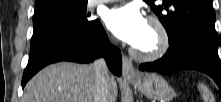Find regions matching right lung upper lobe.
<instances>
[{
    "label": "right lung upper lobe",
    "mask_w": 221,
    "mask_h": 102,
    "mask_svg": "<svg viewBox=\"0 0 221 102\" xmlns=\"http://www.w3.org/2000/svg\"><path fill=\"white\" fill-rule=\"evenodd\" d=\"M46 0H36V6H38L40 3L44 2Z\"/></svg>",
    "instance_id": "right-lung-upper-lobe-1"
}]
</instances>
